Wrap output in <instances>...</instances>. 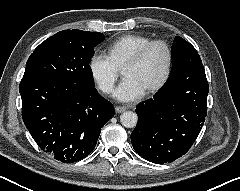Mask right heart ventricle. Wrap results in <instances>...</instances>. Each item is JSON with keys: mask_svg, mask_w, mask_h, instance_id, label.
Here are the masks:
<instances>
[{"mask_svg": "<svg viewBox=\"0 0 240 191\" xmlns=\"http://www.w3.org/2000/svg\"><path fill=\"white\" fill-rule=\"evenodd\" d=\"M151 40L152 38L140 34L121 36L108 45V56L121 69L142 46Z\"/></svg>", "mask_w": 240, "mask_h": 191, "instance_id": "1", "label": "right heart ventricle"}]
</instances>
